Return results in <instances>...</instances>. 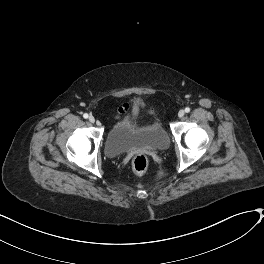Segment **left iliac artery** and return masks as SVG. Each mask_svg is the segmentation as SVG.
Listing matches in <instances>:
<instances>
[{"label":"left iliac artery","mask_w":264,"mask_h":264,"mask_svg":"<svg viewBox=\"0 0 264 264\" xmlns=\"http://www.w3.org/2000/svg\"><path fill=\"white\" fill-rule=\"evenodd\" d=\"M185 112H187V113L190 112V108L189 107H186L185 108Z\"/></svg>","instance_id":"left-iliac-artery-1"}]
</instances>
